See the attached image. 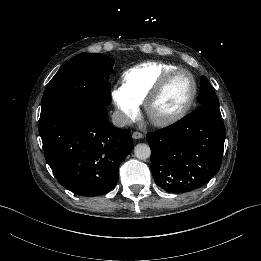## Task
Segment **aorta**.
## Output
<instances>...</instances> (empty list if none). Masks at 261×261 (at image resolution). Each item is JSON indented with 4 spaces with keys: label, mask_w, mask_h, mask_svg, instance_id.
<instances>
[{
    "label": "aorta",
    "mask_w": 261,
    "mask_h": 261,
    "mask_svg": "<svg viewBox=\"0 0 261 261\" xmlns=\"http://www.w3.org/2000/svg\"><path fill=\"white\" fill-rule=\"evenodd\" d=\"M135 157L139 160H146L151 155V149L147 144H137L134 149Z\"/></svg>",
    "instance_id": "obj_1"
}]
</instances>
